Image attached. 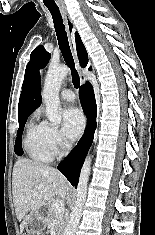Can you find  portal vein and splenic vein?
I'll return each instance as SVG.
<instances>
[{"instance_id": "1", "label": "portal vein and splenic vein", "mask_w": 155, "mask_h": 235, "mask_svg": "<svg viewBox=\"0 0 155 235\" xmlns=\"http://www.w3.org/2000/svg\"><path fill=\"white\" fill-rule=\"evenodd\" d=\"M54 211L57 214H60L64 211V202L60 199H57L53 203Z\"/></svg>"}]
</instances>
